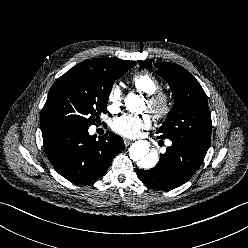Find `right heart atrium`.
I'll list each match as a JSON object with an SVG mask.
<instances>
[{
    "mask_svg": "<svg viewBox=\"0 0 248 248\" xmlns=\"http://www.w3.org/2000/svg\"><path fill=\"white\" fill-rule=\"evenodd\" d=\"M108 102L112 111H118L122 104V93L117 84H114L108 94Z\"/></svg>",
    "mask_w": 248,
    "mask_h": 248,
    "instance_id": "1",
    "label": "right heart atrium"
}]
</instances>
